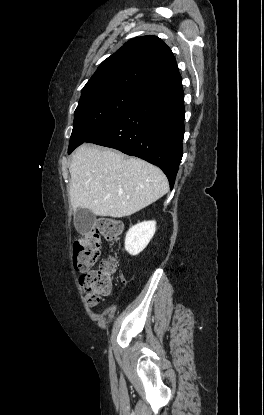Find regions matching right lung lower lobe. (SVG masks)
<instances>
[{
	"label": "right lung lower lobe",
	"mask_w": 264,
	"mask_h": 415,
	"mask_svg": "<svg viewBox=\"0 0 264 415\" xmlns=\"http://www.w3.org/2000/svg\"><path fill=\"white\" fill-rule=\"evenodd\" d=\"M184 116L180 83L143 98L86 142L115 148L157 165L172 188L183 155Z\"/></svg>",
	"instance_id": "1"
}]
</instances>
